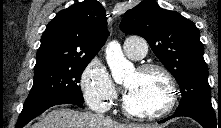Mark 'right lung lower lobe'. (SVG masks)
I'll use <instances>...</instances> for the list:
<instances>
[{"mask_svg": "<svg viewBox=\"0 0 221 128\" xmlns=\"http://www.w3.org/2000/svg\"><path fill=\"white\" fill-rule=\"evenodd\" d=\"M59 104H74L79 107H83L82 103L80 102L62 97L47 99L42 102L23 107V110L19 115L16 128H22L33 118L43 113L46 109Z\"/></svg>", "mask_w": 221, "mask_h": 128, "instance_id": "obj_1", "label": "right lung lower lobe"}]
</instances>
